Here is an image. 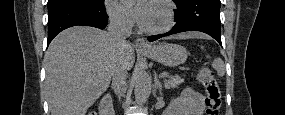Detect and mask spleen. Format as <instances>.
Masks as SVG:
<instances>
[{
	"label": "spleen",
	"mask_w": 285,
	"mask_h": 115,
	"mask_svg": "<svg viewBox=\"0 0 285 115\" xmlns=\"http://www.w3.org/2000/svg\"><path fill=\"white\" fill-rule=\"evenodd\" d=\"M207 57H209V56H207ZM212 67L217 71V74L219 76H224V74H225V64H224V62L220 58H216L212 62Z\"/></svg>",
	"instance_id": "spleen-1"
}]
</instances>
